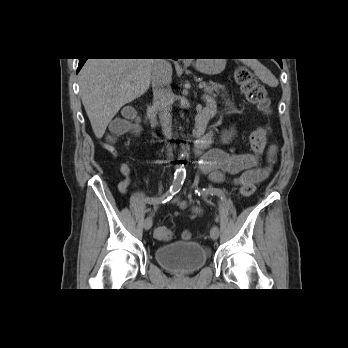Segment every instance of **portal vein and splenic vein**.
I'll list each match as a JSON object with an SVG mask.
<instances>
[{"instance_id": "18ae733b", "label": "portal vein and splenic vein", "mask_w": 348, "mask_h": 348, "mask_svg": "<svg viewBox=\"0 0 348 348\" xmlns=\"http://www.w3.org/2000/svg\"><path fill=\"white\" fill-rule=\"evenodd\" d=\"M206 86H207V84L205 82L199 83V88H204Z\"/></svg>"}]
</instances>
